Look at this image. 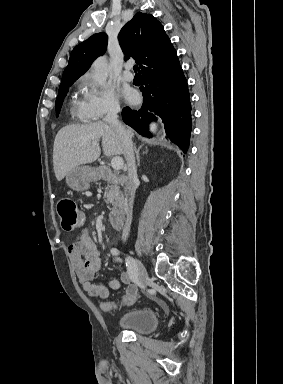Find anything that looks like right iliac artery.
<instances>
[{"instance_id":"1","label":"right iliac artery","mask_w":283,"mask_h":384,"mask_svg":"<svg viewBox=\"0 0 283 384\" xmlns=\"http://www.w3.org/2000/svg\"><path fill=\"white\" fill-rule=\"evenodd\" d=\"M112 255H119L120 251L117 248H112L111 249ZM126 266H127V271L130 276V279L132 282H137L138 281V272H137V267L134 261L131 258H126Z\"/></svg>"}]
</instances>
